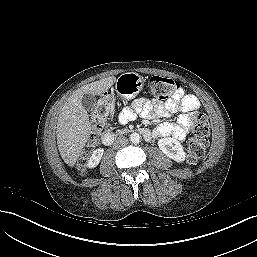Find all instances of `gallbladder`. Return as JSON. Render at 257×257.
<instances>
[{
    "label": "gallbladder",
    "instance_id": "bac80fb5",
    "mask_svg": "<svg viewBox=\"0 0 257 257\" xmlns=\"http://www.w3.org/2000/svg\"><path fill=\"white\" fill-rule=\"evenodd\" d=\"M82 106L86 111L91 112L97 105L96 97L92 94H84L81 99Z\"/></svg>",
    "mask_w": 257,
    "mask_h": 257
}]
</instances>
